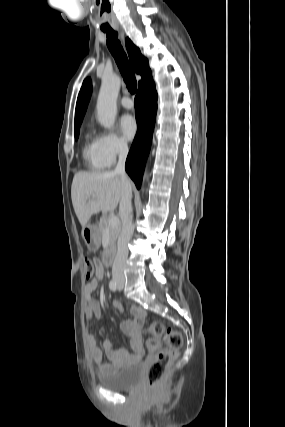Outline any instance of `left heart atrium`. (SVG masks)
<instances>
[{
  "label": "left heart atrium",
  "mask_w": 285,
  "mask_h": 427,
  "mask_svg": "<svg viewBox=\"0 0 285 427\" xmlns=\"http://www.w3.org/2000/svg\"><path fill=\"white\" fill-rule=\"evenodd\" d=\"M120 128L127 140H131L137 133L138 126L135 119L127 114L124 115L120 120Z\"/></svg>",
  "instance_id": "1"
}]
</instances>
